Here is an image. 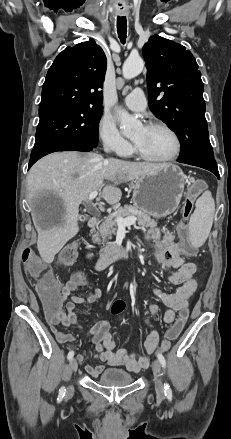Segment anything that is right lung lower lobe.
I'll return each mask as SVG.
<instances>
[{"instance_id":"right-lung-lower-lobe-1","label":"right lung lower lobe","mask_w":231,"mask_h":439,"mask_svg":"<svg viewBox=\"0 0 231 439\" xmlns=\"http://www.w3.org/2000/svg\"><path fill=\"white\" fill-rule=\"evenodd\" d=\"M94 147L88 146V145H82V144H75V143H67V144H59V145H53L43 148H37L33 149L28 165V169L31 168V166L40 158L43 156L57 152V151H83L88 152L91 151Z\"/></svg>"}]
</instances>
